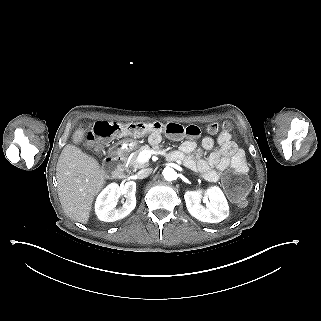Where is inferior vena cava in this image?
<instances>
[{"instance_id":"602c4592","label":"inferior vena cava","mask_w":321,"mask_h":321,"mask_svg":"<svg viewBox=\"0 0 321 321\" xmlns=\"http://www.w3.org/2000/svg\"><path fill=\"white\" fill-rule=\"evenodd\" d=\"M152 172H153L152 168H145V169L140 170L137 173V176L139 179H144V178L148 177L149 175H151Z\"/></svg>"}]
</instances>
